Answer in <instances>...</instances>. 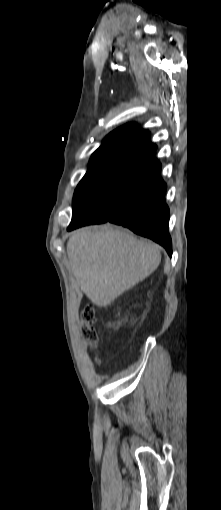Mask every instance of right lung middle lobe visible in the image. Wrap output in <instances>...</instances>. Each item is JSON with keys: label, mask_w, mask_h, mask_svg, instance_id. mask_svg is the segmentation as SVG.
Returning <instances> with one entry per match:
<instances>
[{"label": "right lung middle lobe", "mask_w": 221, "mask_h": 510, "mask_svg": "<svg viewBox=\"0 0 221 510\" xmlns=\"http://www.w3.org/2000/svg\"><path fill=\"white\" fill-rule=\"evenodd\" d=\"M152 156L149 152L126 151L91 157L90 168L75 190L73 209L85 204L94 216L116 212Z\"/></svg>", "instance_id": "right-lung-middle-lobe-1"}]
</instances>
